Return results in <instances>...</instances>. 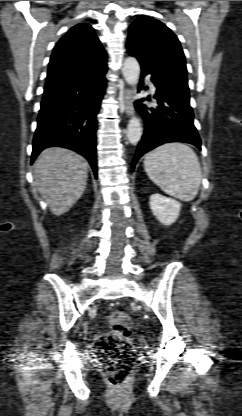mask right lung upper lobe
Listing matches in <instances>:
<instances>
[{
    "mask_svg": "<svg viewBox=\"0 0 242 416\" xmlns=\"http://www.w3.org/2000/svg\"><path fill=\"white\" fill-rule=\"evenodd\" d=\"M107 55L93 28L87 23L72 27L52 53L46 88L77 82L107 70Z\"/></svg>",
    "mask_w": 242,
    "mask_h": 416,
    "instance_id": "cb5924a9",
    "label": "right lung upper lobe"
}]
</instances>
